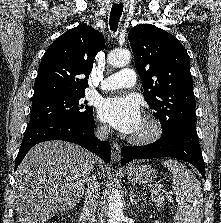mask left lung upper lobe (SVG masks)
<instances>
[{
	"label": "left lung upper lobe",
	"instance_id": "1",
	"mask_svg": "<svg viewBox=\"0 0 221 223\" xmlns=\"http://www.w3.org/2000/svg\"><path fill=\"white\" fill-rule=\"evenodd\" d=\"M144 98L166 136L179 126L195 127V96L187 51L172 34L150 24L128 36Z\"/></svg>",
	"mask_w": 221,
	"mask_h": 223
}]
</instances>
